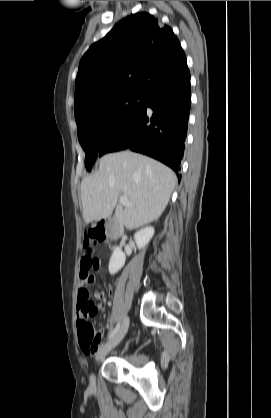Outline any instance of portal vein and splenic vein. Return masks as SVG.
<instances>
[{
  "mask_svg": "<svg viewBox=\"0 0 271 418\" xmlns=\"http://www.w3.org/2000/svg\"><path fill=\"white\" fill-rule=\"evenodd\" d=\"M119 201L122 205H131V203L128 201V198L124 196H120Z\"/></svg>",
  "mask_w": 271,
  "mask_h": 418,
  "instance_id": "portal-vein-and-splenic-vein-1",
  "label": "portal vein and splenic vein"
}]
</instances>
